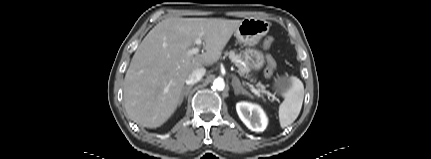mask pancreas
Instances as JSON below:
<instances>
[{"label":"pancreas","mask_w":431,"mask_h":159,"mask_svg":"<svg viewBox=\"0 0 431 159\" xmlns=\"http://www.w3.org/2000/svg\"><path fill=\"white\" fill-rule=\"evenodd\" d=\"M226 55L229 56V58L235 63V65L239 68V74L240 75H245L246 73H248L249 68L247 66L243 65V61L241 58V55L236 54L234 51H230L227 52ZM259 86L262 88V92H265L264 90V86L259 84Z\"/></svg>","instance_id":"pancreas-1"}]
</instances>
